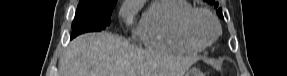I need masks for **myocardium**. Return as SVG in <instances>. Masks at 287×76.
I'll use <instances>...</instances> for the list:
<instances>
[{
	"instance_id": "myocardium-1",
	"label": "myocardium",
	"mask_w": 287,
	"mask_h": 76,
	"mask_svg": "<svg viewBox=\"0 0 287 76\" xmlns=\"http://www.w3.org/2000/svg\"><path fill=\"white\" fill-rule=\"evenodd\" d=\"M198 15H205L215 27V33L212 36V38L209 40L200 39L194 31V22ZM183 30H184L186 37L192 43H194L195 45L201 48H206L210 46L219 37L221 33V27H220L218 19L215 17V15L212 12L204 8H193L185 15L184 20H183Z\"/></svg>"
}]
</instances>
